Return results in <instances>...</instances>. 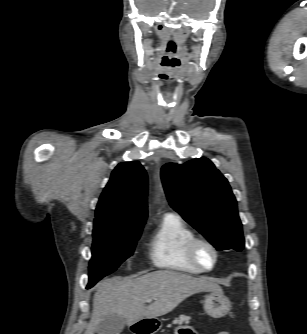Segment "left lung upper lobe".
<instances>
[{
	"instance_id": "obj_1",
	"label": "left lung upper lobe",
	"mask_w": 307,
	"mask_h": 334,
	"mask_svg": "<svg viewBox=\"0 0 307 334\" xmlns=\"http://www.w3.org/2000/svg\"><path fill=\"white\" fill-rule=\"evenodd\" d=\"M161 178L171 207L217 250L243 249L236 199L227 179L209 159L167 163Z\"/></svg>"
}]
</instances>
